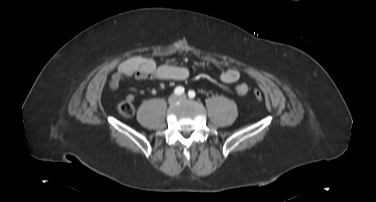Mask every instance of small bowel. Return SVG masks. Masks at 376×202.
<instances>
[{"label": "small bowel", "mask_w": 376, "mask_h": 202, "mask_svg": "<svg viewBox=\"0 0 376 202\" xmlns=\"http://www.w3.org/2000/svg\"><path fill=\"white\" fill-rule=\"evenodd\" d=\"M139 77L155 81H184L190 77V71L185 66L172 64L157 65L154 60L142 56H135L124 60L119 64L116 71L111 75L109 87L115 91L119 88L124 78ZM240 71L230 68L218 74L220 81L226 84H233L239 81ZM235 92L239 96H244L248 92V86L240 83L235 87ZM134 99L132 95H129Z\"/></svg>", "instance_id": "c3829d8e"}]
</instances>
